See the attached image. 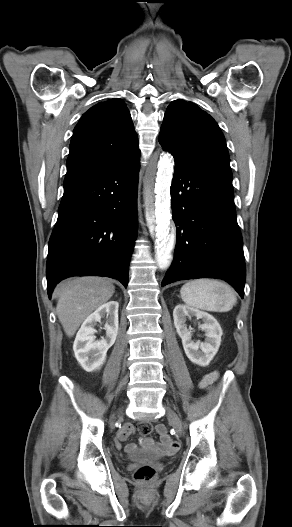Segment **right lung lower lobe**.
I'll use <instances>...</instances> for the list:
<instances>
[{
	"label": "right lung lower lobe",
	"mask_w": 292,
	"mask_h": 527,
	"mask_svg": "<svg viewBox=\"0 0 292 527\" xmlns=\"http://www.w3.org/2000/svg\"><path fill=\"white\" fill-rule=\"evenodd\" d=\"M140 154L110 165L67 169L46 265L51 298L70 276L97 275L128 284L137 233Z\"/></svg>",
	"instance_id": "1"
}]
</instances>
